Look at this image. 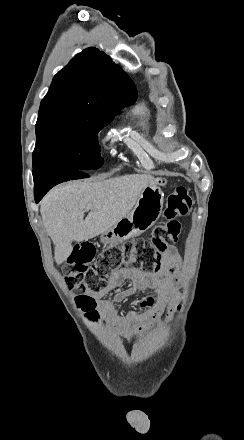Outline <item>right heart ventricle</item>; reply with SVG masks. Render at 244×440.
<instances>
[{"instance_id":"right-heart-ventricle-1","label":"right heart ventricle","mask_w":244,"mask_h":440,"mask_svg":"<svg viewBox=\"0 0 244 440\" xmlns=\"http://www.w3.org/2000/svg\"><path fill=\"white\" fill-rule=\"evenodd\" d=\"M132 113L137 117L144 119L147 114V108L144 105H138L133 109Z\"/></svg>"}]
</instances>
